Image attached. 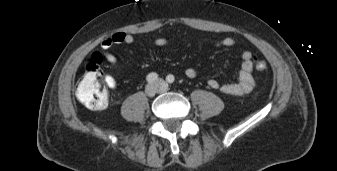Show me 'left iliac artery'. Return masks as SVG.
<instances>
[{"mask_svg": "<svg viewBox=\"0 0 337 171\" xmlns=\"http://www.w3.org/2000/svg\"><path fill=\"white\" fill-rule=\"evenodd\" d=\"M166 80L169 82V83H173L175 78L173 75L169 74L167 77H166Z\"/></svg>", "mask_w": 337, "mask_h": 171, "instance_id": "1", "label": "left iliac artery"}]
</instances>
